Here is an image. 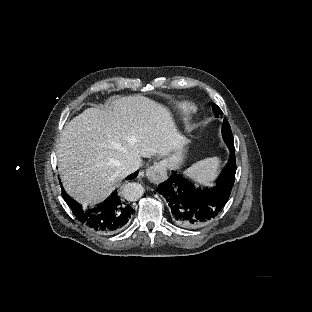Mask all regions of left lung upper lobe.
Returning a JSON list of instances; mask_svg holds the SVG:
<instances>
[{
	"label": "left lung upper lobe",
	"instance_id": "obj_1",
	"mask_svg": "<svg viewBox=\"0 0 312 312\" xmlns=\"http://www.w3.org/2000/svg\"><path fill=\"white\" fill-rule=\"evenodd\" d=\"M212 108L216 116L222 113L221 109L214 103L212 104ZM222 132H223V137H224L225 142L227 144H234L232 131L226 119H224V122H223Z\"/></svg>",
	"mask_w": 312,
	"mask_h": 312
}]
</instances>
